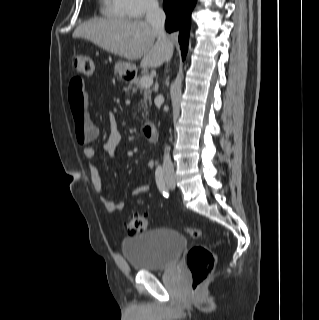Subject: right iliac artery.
Instances as JSON below:
<instances>
[{
  "label": "right iliac artery",
  "instance_id": "right-iliac-artery-1",
  "mask_svg": "<svg viewBox=\"0 0 319 320\" xmlns=\"http://www.w3.org/2000/svg\"><path fill=\"white\" fill-rule=\"evenodd\" d=\"M155 177H156V183H157V186H158L160 192L165 197H168L169 191H168V188L166 187L164 173H163V169L161 167H158L156 169Z\"/></svg>",
  "mask_w": 319,
  "mask_h": 320
}]
</instances>
